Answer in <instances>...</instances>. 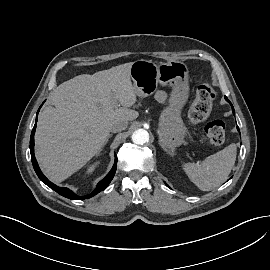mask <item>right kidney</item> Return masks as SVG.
<instances>
[{
	"label": "right kidney",
	"instance_id": "obj_1",
	"mask_svg": "<svg viewBox=\"0 0 270 270\" xmlns=\"http://www.w3.org/2000/svg\"><path fill=\"white\" fill-rule=\"evenodd\" d=\"M99 164V162H95L94 164L90 165L88 168H87V173H91L94 171L95 167Z\"/></svg>",
	"mask_w": 270,
	"mask_h": 270
}]
</instances>
